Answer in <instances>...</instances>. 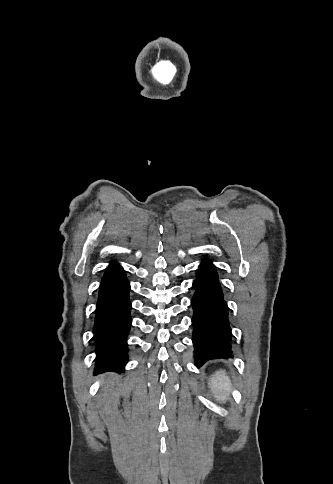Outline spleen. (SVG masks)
Segmentation results:
<instances>
[{
    "instance_id": "obj_1",
    "label": "spleen",
    "mask_w": 333,
    "mask_h": 484,
    "mask_svg": "<svg viewBox=\"0 0 333 484\" xmlns=\"http://www.w3.org/2000/svg\"><path fill=\"white\" fill-rule=\"evenodd\" d=\"M209 385L216 401L224 403L230 397L231 382L223 370L212 375Z\"/></svg>"
}]
</instances>
